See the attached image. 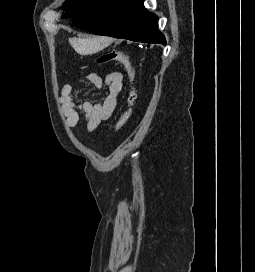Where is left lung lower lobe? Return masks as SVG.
Returning <instances> with one entry per match:
<instances>
[{"label":"left lung lower lobe","instance_id":"0a47b994","mask_svg":"<svg viewBox=\"0 0 255 272\" xmlns=\"http://www.w3.org/2000/svg\"><path fill=\"white\" fill-rule=\"evenodd\" d=\"M144 0H90L73 16V24L96 35L143 43L166 44L158 30V17L148 12Z\"/></svg>","mask_w":255,"mask_h":272}]
</instances>
